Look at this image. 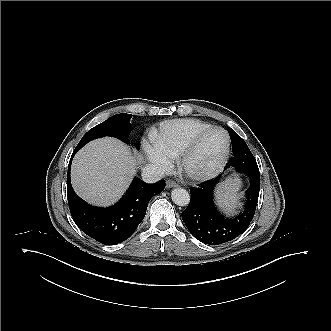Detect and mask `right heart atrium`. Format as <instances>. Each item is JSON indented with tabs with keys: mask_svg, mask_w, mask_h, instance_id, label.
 <instances>
[{
	"mask_svg": "<svg viewBox=\"0 0 331 331\" xmlns=\"http://www.w3.org/2000/svg\"><path fill=\"white\" fill-rule=\"evenodd\" d=\"M143 149L149 162L157 166L162 171H167L172 165V157L155 144L144 142Z\"/></svg>",
	"mask_w": 331,
	"mask_h": 331,
	"instance_id": "d8ad5b80",
	"label": "right heart atrium"
}]
</instances>
